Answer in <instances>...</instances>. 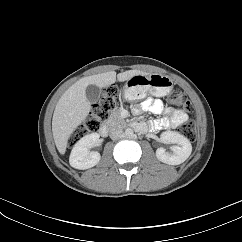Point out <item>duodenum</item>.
I'll return each mask as SVG.
<instances>
[{
	"label": "duodenum",
	"mask_w": 242,
	"mask_h": 242,
	"mask_svg": "<svg viewBox=\"0 0 242 242\" xmlns=\"http://www.w3.org/2000/svg\"><path fill=\"white\" fill-rule=\"evenodd\" d=\"M134 126V125H133ZM109 133V129L107 125H103L102 128L100 129V134L102 136H107Z\"/></svg>",
	"instance_id": "duodenum-1"
}]
</instances>
